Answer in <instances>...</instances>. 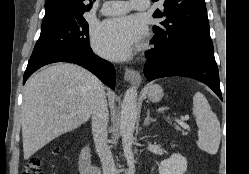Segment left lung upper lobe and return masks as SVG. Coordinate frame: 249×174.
Here are the masks:
<instances>
[{
  "label": "left lung upper lobe",
  "mask_w": 249,
  "mask_h": 174,
  "mask_svg": "<svg viewBox=\"0 0 249 174\" xmlns=\"http://www.w3.org/2000/svg\"><path fill=\"white\" fill-rule=\"evenodd\" d=\"M158 1V0H153ZM164 10H156L154 18L166 17L153 27V39L168 50L212 43L205 0H165Z\"/></svg>",
  "instance_id": "left-lung-upper-lobe-1"
}]
</instances>
